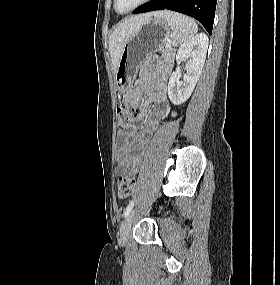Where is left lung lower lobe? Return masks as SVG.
I'll list each match as a JSON object with an SVG mask.
<instances>
[{
  "mask_svg": "<svg viewBox=\"0 0 280 285\" xmlns=\"http://www.w3.org/2000/svg\"><path fill=\"white\" fill-rule=\"evenodd\" d=\"M217 0H151L133 13L169 9L197 19L211 35Z\"/></svg>",
  "mask_w": 280,
  "mask_h": 285,
  "instance_id": "0a47b994",
  "label": "left lung lower lobe"
}]
</instances>
